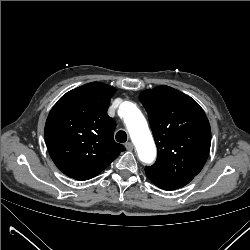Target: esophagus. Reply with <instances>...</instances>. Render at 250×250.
Wrapping results in <instances>:
<instances>
[{
    "label": "esophagus",
    "instance_id": "esophagus-1",
    "mask_svg": "<svg viewBox=\"0 0 250 250\" xmlns=\"http://www.w3.org/2000/svg\"><path fill=\"white\" fill-rule=\"evenodd\" d=\"M125 147H126L127 150L131 151V150H133L134 145H133L132 142H127V143L125 144Z\"/></svg>",
    "mask_w": 250,
    "mask_h": 250
}]
</instances>
